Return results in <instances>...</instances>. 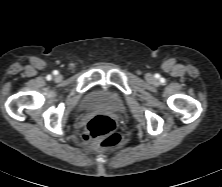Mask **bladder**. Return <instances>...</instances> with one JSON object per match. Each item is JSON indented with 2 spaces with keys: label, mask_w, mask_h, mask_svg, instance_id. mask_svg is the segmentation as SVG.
<instances>
[{
  "label": "bladder",
  "mask_w": 222,
  "mask_h": 187,
  "mask_svg": "<svg viewBox=\"0 0 222 187\" xmlns=\"http://www.w3.org/2000/svg\"><path fill=\"white\" fill-rule=\"evenodd\" d=\"M124 107L125 101L119 93L101 87L87 92L79 104V108L82 110L107 108L114 111H121Z\"/></svg>",
  "instance_id": "bladder-1"
}]
</instances>
